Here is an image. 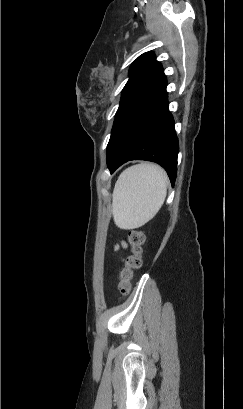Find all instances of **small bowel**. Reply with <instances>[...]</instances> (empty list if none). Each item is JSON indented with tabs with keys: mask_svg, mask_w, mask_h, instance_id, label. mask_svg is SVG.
Here are the masks:
<instances>
[{
	"mask_svg": "<svg viewBox=\"0 0 243 409\" xmlns=\"http://www.w3.org/2000/svg\"><path fill=\"white\" fill-rule=\"evenodd\" d=\"M127 246H126V244L125 243H122V248H126ZM116 250H118L119 249V247L117 246L116 248H115Z\"/></svg>",
	"mask_w": 243,
	"mask_h": 409,
	"instance_id": "small-bowel-1",
	"label": "small bowel"
}]
</instances>
